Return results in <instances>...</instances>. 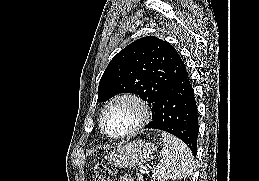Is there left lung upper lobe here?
I'll use <instances>...</instances> for the list:
<instances>
[{
	"instance_id": "obj_1",
	"label": "left lung upper lobe",
	"mask_w": 259,
	"mask_h": 181,
	"mask_svg": "<svg viewBox=\"0 0 259 181\" xmlns=\"http://www.w3.org/2000/svg\"><path fill=\"white\" fill-rule=\"evenodd\" d=\"M183 61L173 46L154 37L137 39L108 64L98 87V102L119 93L139 95L153 117L165 90L180 75Z\"/></svg>"
}]
</instances>
